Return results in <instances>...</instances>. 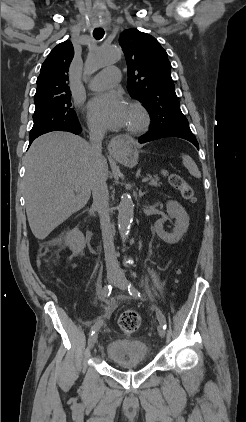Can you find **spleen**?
Masks as SVG:
<instances>
[{
    "label": "spleen",
    "instance_id": "spleen-1",
    "mask_svg": "<svg viewBox=\"0 0 246 422\" xmlns=\"http://www.w3.org/2000/svg\"><path fill=\"white\" fill-rule=\"evenodd\" d=\"M182 162L183 165L188 169L189 173L196 177V178H200L201 177V173L196 165V163L193 161V159L185 154H182Z\"/></svg>",
    "mask_w": 246,
    "mask_h": 422
}]
</instances>
